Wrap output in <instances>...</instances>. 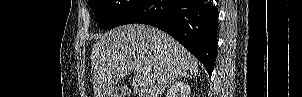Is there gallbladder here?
<instances>
[{
	"label": "gallbladder",
	"mask_w": 302,
	"mask_h": 97,
	"mask_svg": "<svg viewBox=\"0 0 302 97\" xmlns=\"http://www.w3.org/2000/svg\"><path fill=\"white\" fill-rule=\"evenodd\" d=\"M130 94V90L125 85L113 86L109 91L108 97H126Z\"/></svg>",
	"instance_id": "gallbladder-1"
}]
</instances>
